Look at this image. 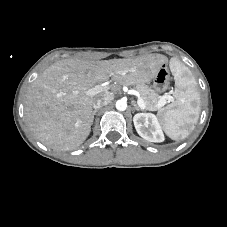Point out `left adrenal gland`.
Returning <instances> with one entry per match:
<instances>
[{"instance_id": "a2214340", "label": "left adrenal gland", "mask_w": 227, "mask_h": 227, "mask_svg": "<svg viewBox=\"0 0 227 227\" xmlns=\"http://www.w3.org/2000/svg\"><path fill=\"white\" fill-rule=\"evenodd\" d=\"M133 106H134V110H141V111H143V109L142 108H140L135 102H133Z\"/></svg>"}]
</instances>
